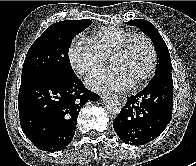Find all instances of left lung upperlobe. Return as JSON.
Wrapping results in <instances>:
<instances>
[{"mask_svg": "<svg viewBox=\"0 0 196 166\" xmlns=\"http://www.w3.org/2000/svg\"><path fill=\"white\" fill-rule=\"evenodd\" d=\"M128 24L139 27L153 41L158 58L155 76L172 72L169 50L154 25L144 19L131 20Z\"/></svg>", "mask_w": 196, "mask_h": 166, "instance_id": "1", "label": "left lung upper lobe"}]
</instances>
